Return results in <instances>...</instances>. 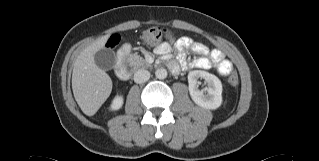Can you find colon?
<instances>
[{
  "label": "colon",
  "instance_id": "5ec220e1",
  "mask_svg": "<svg viewBox=\"0 0 319 161\" xmlns=\"http://www.w3.org/2000/svg\"><path fill=\"white\" fill-rule=\"evenodd\" d=\"M163 39L173 40L174 33L168 29L161 27H152L142 33V40L148 45H156ZM229 83L232 86H236L238 84V76L236 73L230 74Z\"/></svg>",
  "mask_w": 319,
  "mask_h": 161
}]
</instances>
